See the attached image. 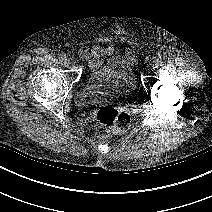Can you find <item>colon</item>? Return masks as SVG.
<instances>
[{
	"instance_id": "colon-1",
	"label": "colon",
	"mask_w": 212,
	"mask_h": 212,
	"mask_svg": "<svg viewBox=\"0 0 212 212\" xmlns=\"http://www.w3.org/2000/svg\"><path fill=\"white\" fill-rule=\"evenodd\" d=\"M95 119L99 124L97 129L98 136L107 137L110 134L124 132L130 125V116L123 111L115 108L100 109Z\"/></svg>"
}]
</instances>
